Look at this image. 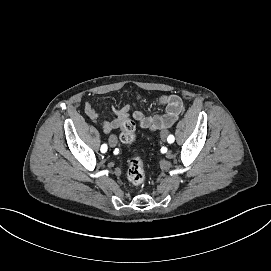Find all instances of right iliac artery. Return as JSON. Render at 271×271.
<instances>
[{
    "label": "right iliac artery",
    "mask_w": 271,
    "mask_h": 271,
    "mask_svg": "<svg viewBox=\"0 0 271 271\" xmlns=\"http://www.w3.org/2000/svg\"><path fill=\"white\" fill-rule=\"evenodd\" d=\"M106 151H107V145H106V144H103V145L101 146V152L104 153V152H106Z\"/></svg>",
    "instance_id": "right-iliac-artery-1"
}]
</instances>
